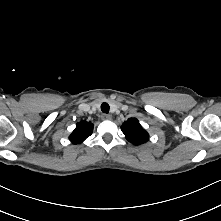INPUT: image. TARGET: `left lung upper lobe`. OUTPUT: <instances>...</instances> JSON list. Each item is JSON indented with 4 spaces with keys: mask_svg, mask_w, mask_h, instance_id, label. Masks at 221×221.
<instances>
[{
    "mask_svg": "<svg viewBox=\"0 0 221 221\" xmlns=\"http://www.w3.org/2000/svg\"><path fill=\"white\" fill-rule=\"evenodd\" d=\"M122 132L129 142L134 145H140L148 140V133L142 128L136 118H130L125 121L121 127Z\"/></svg>",
    "mask_w": 221,
    "mask_h": 221,
    "instance_id": "1",
    "label": "left lung upper lobe"
}]
</instances>
